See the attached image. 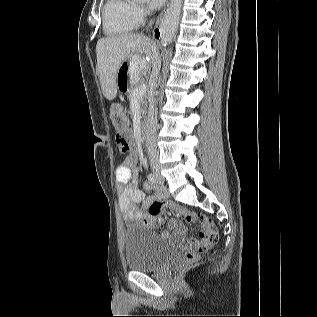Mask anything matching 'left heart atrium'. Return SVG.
<instances>
[{
	"instance_id": "1",
	"label": "left heart atrium",
	"mask_w": 317,
	"mask_h": 317,
	"mask_svg": "<svg viewBox=\"0 0 317 317\" xmlns=\"http://www.w3.org/2000/svg\"><path fill=\"white\" fill-rule=\"evenodd\" d=\"M166 0H147L150 8L157 9L160 8Z\"/></svg>"
}]
</instances>
